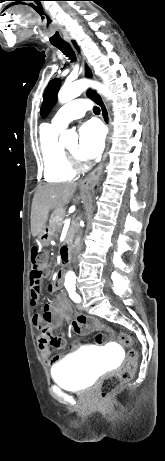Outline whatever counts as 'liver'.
<instances>
[{
  "label": "liver",
  "instance_id": "1",
  "mask_svg": "<svg viewBox=\"0 0 165 461\" xmlns=\"http://www.w3.org/2000/svg\"><path fill=\"white\" fill-rule=\"evenodd\" d=\"M77 185L76 182L46 184L38 189L31 207V233L34 237L43 230L51 210L61 209L71 201ZM85 192L82 190L76 200L84 199Z\"/></svg>",
  "mask_w": 165,
  "mask_h": 461
}]
</instances>
